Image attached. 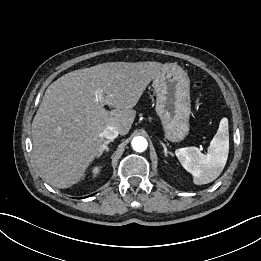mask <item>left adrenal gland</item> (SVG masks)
<instances>
[{
	"instance_id": "a2214340",
	"label": "left adrenal gland",
	"mask_w": 261,
	"mask_h": 261,
	"mask_svg": "<svg viewBox=\"0 0 261 261\" xmlns=\"http://www.w3.org/2000/svg\"><path fill=\"white\" fill-rule=\"evenodd\" d=\"M161 145H162L163 148H164V154H165V156H167L168 154L173 155L171 152H169V151L167 150V147H166V145H165L164 143L161 142Z\"/></svg>"
}]
</instances>
